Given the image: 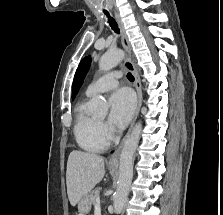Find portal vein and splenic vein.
<instances>
[{
    "instance_id": "obj_1",
    "label": "portal vein and splenic vein",
    "mask_w": 223,
    "mask_h": 215,
    "mask_svg": "<svg viewBox=\"0 0 223 215\" xmlns=\"http://www.w3.org/2000/svg\"><path fill=\"white\" fill-rule=\"evenodd\" d=\"M94 207H95V209H100L101 205H100V199H99V197H96V203H94Z\"/></svg>"
}]
</instances>
